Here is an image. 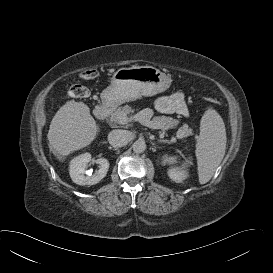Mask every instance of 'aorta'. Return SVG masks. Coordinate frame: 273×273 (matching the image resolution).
Returning a JSON list of instances; mask_svg holds the SVG:
<instances>
[{
	"label": "aorta",
	"instance_id": "1",
	"mask_svg": "<svg viewBox=\"0 0 273 273\" xmlns=\"http://www.w3.org/2000/svg\"><path fill=\"white\" fill-rule=\"evenodd\" d=\"M132 149L135 153H142L146 150V143L143 140H137L132 144Z\"/></svg>",
	"mask_w": 273,
	"mask_h": 273
}]
</instances>
